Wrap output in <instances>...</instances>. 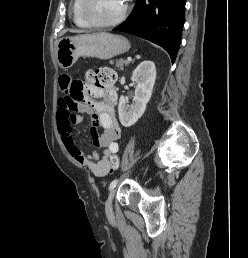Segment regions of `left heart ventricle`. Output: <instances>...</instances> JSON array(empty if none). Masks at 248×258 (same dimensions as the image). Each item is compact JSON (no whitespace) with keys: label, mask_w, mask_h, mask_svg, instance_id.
Wrapping results in <instances>:
<instances>
[{"label":"left heart ventricle","mask_w":248,"mask_h":258,"mask_svg":"<svg viewBox=\"0 0 248 258\" xmlns=\"http://www.w3.org/2000/svg\"><path fill=\"white\" fill-rule=\"evenodd\" d=\"M124 0H87L88 16L97 22H106L116 18L122 10Z\"/></svg>","instance_id":"left-heart-ventricle-1"}]
</instances>
